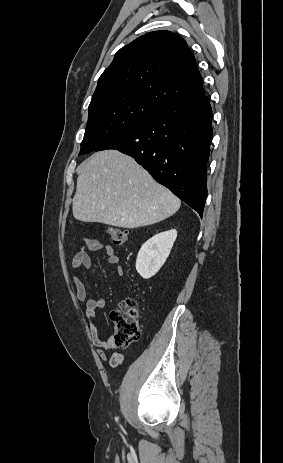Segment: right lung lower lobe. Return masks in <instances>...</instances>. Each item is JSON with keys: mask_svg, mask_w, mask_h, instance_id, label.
<instances>
[{"mask_svg": "<svg viewBox=\"0 0 283 463\" xmlns=\"http://www.w3.org/2000/svg\"><path fill=\"white\" fill-rule=\"evenodd\" d=\"M211 117L212 109L204 94L174 102L95 151L116 149L133 157L202 217L213 136Z\"/></svg>", "mask_w": 283, "mask_h": 463, "instance_id": "1", "label": "right lung lower lobe"}]
</instances>
